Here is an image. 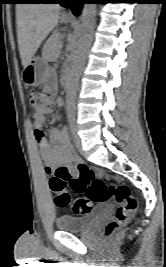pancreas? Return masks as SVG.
<instances>
[{"label":"pancreas","mask_w":166,"mask_h":267,"mask_svg":"<svg viewBox=\"0 0 166 267\" xmlns=\"http://www.w3.org/2000/svg\"><path fill=\"white\" fill-rule=\"evenodd\" d=\"M61 39L62 36L60 34H53L48 39L42 52V56L46 61H52L58 57L61 48Z\"/></svg>","instance_id":"cf45deb5"}]
</instances>
